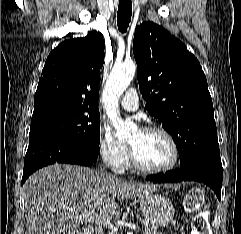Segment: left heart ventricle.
<instances>
[{
  "instance_id": "1",
  "label": "left heart ventricle",
  "mask_w": 241,
  "mask_h": 234,
  "mask_svg": "<svg viewBox=\"0 0 241 234\" xmlns=\"http://www.w3.org/2000/svg\"><path fill=\"white\" fill-rule=\"evenodd\" d=\"M129 144L135 149L140 162L152 168L164 167L173 157V151L168 140L160 133H145L136 131Z\"/></svg>"
}]
</instances>
